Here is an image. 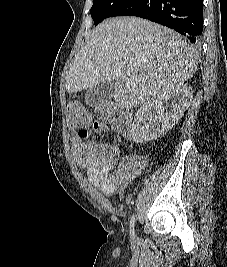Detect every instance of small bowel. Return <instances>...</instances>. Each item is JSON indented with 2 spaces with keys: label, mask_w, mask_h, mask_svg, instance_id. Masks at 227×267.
I'll list each match as a JSON object with an SVG mask.
<instances>
[{
  "label": "small bowel",
  "mask_w": 227,
  "mask_h": 267,
  "mask_svg": "<svg viewBox=\"0 0 227 267\" xmlns=\"http://www.w3.org/2000/svg\"><path fill=\"white\" fill-rule=\"evenodd\" d=\"M121 132L119 126L110 128L99 121L90 122L79 127L75 134H71L72 156L78 167L86 172L87 180L98 187L103 193L109 194L112 187L124 184L136 177L143 168V162L139 159H131L110 172V158L107 151L102 153L95 141L89 140L92 133L102 134L107 130Z\"/></svg>",
  "instance_id": "1"
}]
</instances>
